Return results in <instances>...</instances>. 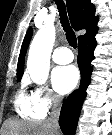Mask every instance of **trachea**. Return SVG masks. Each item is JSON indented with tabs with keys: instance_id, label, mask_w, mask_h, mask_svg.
I'll return each instance as SVG.
<instances>
[{
	"instance_id": "3493384b",
	"label": "trachea",
	"mask_w": 112,
	"mask_h": 135,
	"mask_svg": "<svg viewBox=\"0 0 112 135\" xmlns=\"http://www.w3.org/2000/svg\"><path fill=\"white\" fill-rule=\"evenodd\" d=\"M56 4H57V8L60 13V20H61L62 27H63L64 31L66 32L67 41L71 47L76 48L77 47V38H76L74 31L72 30V28L69 25L65 4L62 0H56Z\"/></svg>"
}]
</instances>
